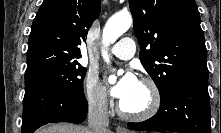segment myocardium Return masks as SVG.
Wrapping results in <instances>:
<instances>
[{
    "instance_id": "f54148a6",
    "label": "myocardium",
    "mask_w": 221,
    "mask_h": 133,
    "mask_svg": "<svg viewBox=\"0 0 221 133\" xmlns=\"http://www.w3.org/2000/svg\"><path fill=\"white\" fill-rule=\"evenodd\" d=\"M140 83L147 87L150 94V101L148 106L142 111L130 112L127 111L122 102L118 105V114L127 120L132 121H144L153 117L160 109L161 106V93L157 83L149 78L144 77L140 80Z\"/></svg>"
}]
</instances>
